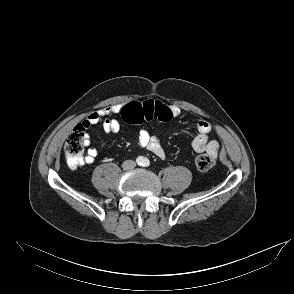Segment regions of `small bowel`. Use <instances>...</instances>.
<instances>
[{
  "label": "small bowel",
  "mask_w": 294,
  "mask_h": 294,
  "mask_svg": "<svg viewBox=\"0 0 294 294\" xmlns=\"http://www.w3.org/2000/svg\"><path fill=\"white\" fill-rule=\"evenodd\" d=\"M123 107L124 105L118 104L97 110L89 114L87 118L82 122L81 126L86 131L94 125H101L105 132L117 133L120 130V123L116 116L121 114V110ZM170 109L172 112V117L177 118L181 115V109L178 106L171 105ZM196 129L197 134L192 141V148L194 149V151L198 153L206 152L216 157L219 149V144L216 140L209 139L211 125L205 120H199L196 124ZM84 142L86 146H89L91 143L90 137L86 132ZM137 143L140 148L150 151L161 159L165 158L166 156L160 139L156 136L151 135L144 128L139 131ZM97 155V149L94 147H89L84 158V162L86 164L93 163Z\"/></svg>",
  "instance_id": "c3829d8e"
}]
</instances>
